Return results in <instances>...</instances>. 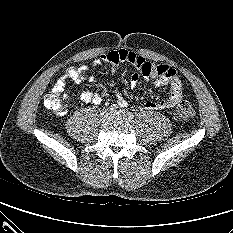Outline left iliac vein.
Instances as JSON below:
<instances>
[{"label": "left iliac vein", "mask_w": 233, "mask_h": 233, "mask_svg": "<svg viewBox=\"0 0 233 233\" xmlns=\"http://www.w3.org/2000/svg\"><path fill=\"white\" fill-rule=\"evenodd\" d=\"M126 117H127V114L122 110H118L113 113V118H116V119H126Z\"/></svg>", "instance_id": "4c4485c4"}]
</instances>
